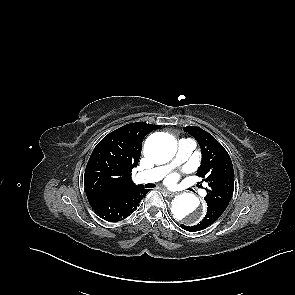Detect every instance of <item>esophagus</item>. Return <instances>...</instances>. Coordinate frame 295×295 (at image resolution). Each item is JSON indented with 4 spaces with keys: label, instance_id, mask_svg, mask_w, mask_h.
I'll list each match as a JSON object with an SVG mask.
<instances>
[{
    "label": "esophagus",
    "instance_id": "obj_1",
    "mask_svg": "<svg viewBox=\"0 0 295 295\" xmlns=\"http://www.w3.org/2000/svg\"><path fill=\"white\" fill-rule=\"evenodd\" d=\"M164 191V193L168 196V197H173V196H175L176 195V193H174V192H171V191H168V190H163Z\"/></svg>",
    "mask_w": 295,
    "mask_h": 295
}]
</instances>
